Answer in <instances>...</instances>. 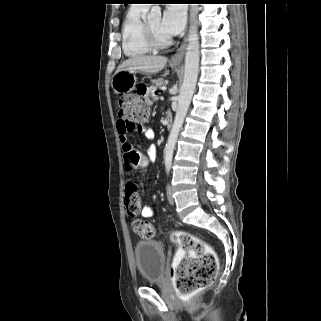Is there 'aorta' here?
<instances>
[{
	"label": "aorta",
	"instance_id": "1",
	"mask_svg": "<svg viewBox=\"0 0 321 321\" xmlns=\"http://www.w3.org/2000/svg\"><path fill=\"white\" fill-rule=\"evenodd\" d=\"M150 14L152 16L161 15L160 6L158 4H154L151 7ZM196 16L197 4H193L192 25L188 37V44L185 55L184 80L178 97V107L176 111V116L165 147L164 160L166 164H170L172 162L173 152L177 142V138L180 129L182 128L196 87L200 60L199 35L196 25Z\"/></svg>",
	"mask_w": 321,
	"mask_h": 321
}]
</instances>
